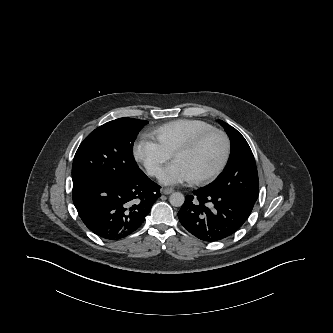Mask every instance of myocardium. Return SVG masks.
<instances>
[{
    "label": "myocardium",
    "mask_w": 333,
    "mask_h": 333,
    "mask_svg": "<svg viewBox=\"0 0 333 333\" xmlns=\"http://www.w3.org/2000/svg\"><path fill=\"white\" fill-rule=\"evenodd\" d=\"M212 135H219L223 139L224 144H225L224 156H223L222 161L219 164V166L213 172H211L210 174H208L206 176L192 179V182L196 185H206V184L213 182L225 170V168L228 165V162L230 160L231 149H232L229 136L224 131H222L218 128H212V129L201 132L198 135L194 136L189 141H187L186 143L179 146L172 154V158H173V160H175V158L178 155L193 151L203 141H205L208 137H210Z\"/></svg>",
    "instance_id": "1"
}]
</instances>
